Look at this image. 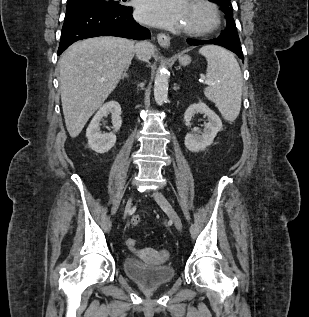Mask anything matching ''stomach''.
<instances>
[{"instance_id":"stomach-1","label":"stomach","mask_w":309,"mask_h":317,"mask_svg":"<svg viewBox=\"0 0 309 317\" xmlns=\"http://www.w3.org/2000/svg\"><path fill=\"white\" fill-rule=\"evenodd\" d=\"M190 61H191V59H190V57L188 55H181L179 57V63L181 65H187V64L190 63Z\"/></svg>"}]
</instances>
